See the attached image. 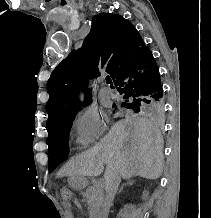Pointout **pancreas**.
I'll list each match as a JSON object with an SVG mask.
<instances>
[{
	"label": "pancreas",
	"instance_id": "obj_1",
	"mask_svg": "<svg viewBox=\"0 0 211 218\" xmlns=\"http://www.w3.org/2000/svg\"><path fill=\"white\" fill-rule=\"evenodd\" d=\"M90 190H86L84 194L87 204H89V216L90 218H95L100 212V208L103 204V188L99 186H90Z\"/></svg>",
	"mask_w": 211,
	"mask_h": 218
}]
</instances>
